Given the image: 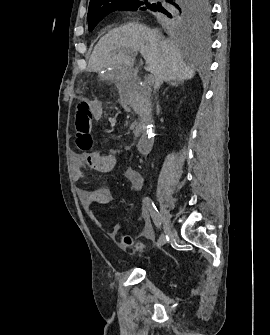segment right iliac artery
<instances>
[{"mask_svg": "<svg viewBox=\"0 0 270 335\" xmlns=\"http://www.w3.org/2000/svg\"><path fill=\"white\" fill-rule=\"evenodd\" d=\"M143 204L145 205V207L150 212V215H151L152 220H153L154 224L156 225V227L158 229H161V215H160L158 209L156 208L154 202L152 201V199L149 198V197H144ZM165 242H166V236L164 235L163 232H161L160 237L157 241V245L162 246Z\"/></svg>", "mask_w": 270, "mask_h": 335, "instance_id": "82829eb1", "label": "right iliac artery"}]
</instances>
